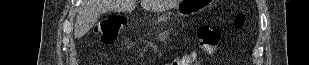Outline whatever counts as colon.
<instances>
[{"instance_id":"colon-1","label":"colon","mask_w":309,"mask_h":65,"mask_svg":"<svg viewBox=\"0 0 309 65\" xmlns=\"http://www.w3.org/2000/svg\"><path fill=\"white\" fill-rule=\"evenodd\" d=\"M234 24L237 28L243 27L245 24V16L238 14L235 17ZM128 19L124 15H109L101 19L96 25V34L100 36L103 44L111 45L115 43L120 34L126 29ZM197 42L200 50L205 54L213 53L220 42L221 31L212 25H200L197 29ZM130 46V43H126ZM200 62V56L193 52L186 54L176 60L171 65H197Z\"/></svg>"}]
</instances>
